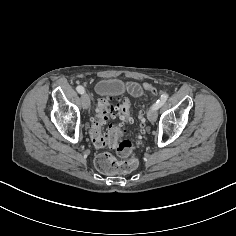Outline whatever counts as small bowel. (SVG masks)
<instances>
[{
	"label": "small bowel",
	"instance_id": "obj_1",
	"mask_svg": "<svg viewBox=\"0 0 236 236\" xmlns=\"http://www.w3.org/2000/svg\"><path fill=\"white\" fill-rule=\"evenodd\" d=\"M129 90L132 94H134L136 96H140L142 94L141 90L137 89V85H135V84H130Z\"/></svg>",
	"mask_w": 236,
	"mask_h": 236
}]
</instances>
